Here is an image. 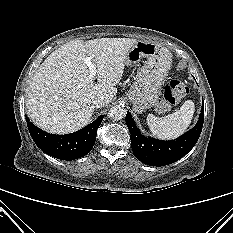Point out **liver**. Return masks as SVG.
Listing matches in <instances>:
<instances>
[{
	"label": "liver",
	"instance_id": "6515ba94",
	"mask_svg": "<svg viewBox=\"0 0 233 233\" xmlns=\"http://www.w3.org/2000/svg\"><path fill=\"white\" fill-rule=\"evenodd\" d=\"M137 41L72 40L52 52L29 85L26 108L32 122L54 134L72 133L86 126L94 112L92 101L102 97L109 104L116 95L127 54ZM86 56L97 69V84L89 78Z\"/></svg>",
	"mask_w": 233,
	"mask_h": 233
}]
</instances>
